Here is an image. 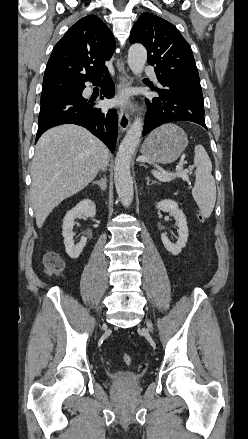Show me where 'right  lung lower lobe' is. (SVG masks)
Here are the masks:
<instances>
[{
    "mask_svg": "<svg viewBox=\"0 0 248 439\" xmlns=\"http://www.w3.org/2000/svg\"><path fill=\"white\" fill-rule=\"evenodd\" d=\"M106 82L101 89L100 99L114 95V83L108 72H104ZM98 78L91 80L94 85ZM83 85L73 91L41 104L36 141L48 129L66 123L77 124L88 129L114 151L118 133L116 110H104L95 106L94 100L82 96Z\"/></svg>",
    "mask_w": 248,
    "mask_h": 439,
    "instance_id": "obj_1",
    "label": "right lung lower lobe"
}]
</instances>
